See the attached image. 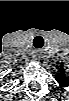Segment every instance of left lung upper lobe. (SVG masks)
Returning a JSON list of instances; mask_svg holds the SVG:
<instances>
[{
  "instance_id": "left-lung-upper-lobe-1",
  "label": "left lung upper lobe",
  "mask_w": 69,
  "mask_h": 101,
  "mask_svg": "<svg viewBox=\"0 0 69 101\" xmlns=\"http://www.w3.org/2000/svg\"><path fill=\"white\" fill-rule=\"evenodd\" d=\"M56 80L58 81V83L60 84V86H66V85H68V79L65 78L64 69L63 68H61L60 69V73H58L56 75Z\"/></svg>"
}]
</instances>
